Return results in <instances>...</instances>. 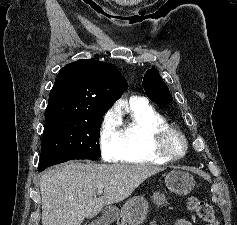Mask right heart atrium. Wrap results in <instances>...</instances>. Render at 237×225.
Listing matches in <instances>:
<instances>
[{"label": "right heart atrium", "mask_w": 237, "mask_h": 225, "mask_svg": "<svg viewBox=\"0 0 237 225\" xmlns=\"http://www.w3.org/2000/svg\"><path fill=\"white\" fill-rule=\"evenodd\" d=\"M98 143L105 161H117L121 150V135L119 124L112 113H106L101 119Z\"/></svg>", "instance_id": "right-heart-atrium-1"}]
</instances>
